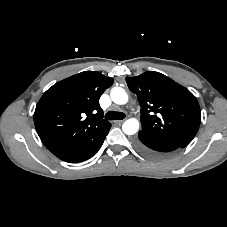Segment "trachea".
<instances>
[{"label": "trachea", "mask_w": 227, "mask_h": 227, "mask_svg": "<svg viewBox=\"0 0 227 227\" xmlns=\"http://www.w3.org/2000/svg\"><path fill=\"white\" fill-rule=\"evenodd\" d=\"M105 118L107 120H122L125 118V114L123 112L109 111L106 113Z\"/></svg>", "instance_id": "1"}]
</instances>
